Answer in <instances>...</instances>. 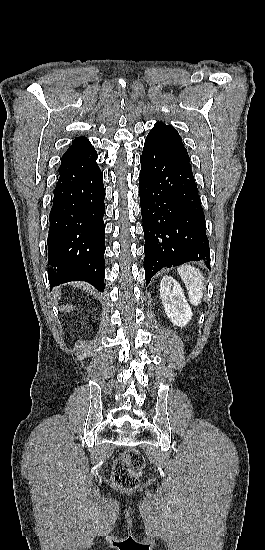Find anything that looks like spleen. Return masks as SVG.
I'll return each instance as SVG.
<instances>
[{"label": "spleen", "mask_w": 265, "mask_h": 550, "mask_svg": "<svg viewBox=\"0 0 265 550\" xmlns=\"http://www.w3.org/2000/svg\"><path fill=\"white\" fill-rule=\"evenodd\" d=\"M177 271L184 281L190 302L194 306L199 305L203 298V291L205 289L203 283L204 277L202 273L199 269L190 265L181 266L177 269Z\"/></svg>", "instance_id": "1"}]
</instances>
